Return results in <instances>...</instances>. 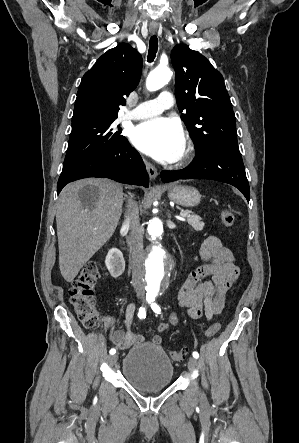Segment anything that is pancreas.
I'll return each instance as SVG.
<instances>
[{"label": "pancreas", "mask_w": 299, "mask_h": 443, "mask_svg": "<svg viewBox=\"0 0 299 443\" xmlns=\"http://www.w3.org/2000/svg\"><path fill=\"white\" fill-rule=\"evenodd\" d=\"M183 212H186L189 214V216L187 217L188 219V224L196 231H201L203 230L205 224L204 222L201 221V217L198 215H193L191 211L189 210H185Z\"/></svg>", "instance_id": "cf45deb5"}]
</instances>
